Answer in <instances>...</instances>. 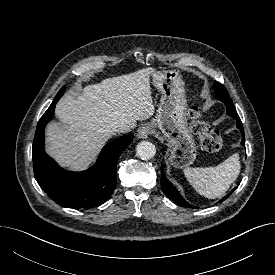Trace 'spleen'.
Returning <instances> with one entry per match:
<instances>
[{
  "label": "spleen",
  "mask_w": 275,
  "mask_h": 275,
  "mask_svg": "<svg viewBox=\"0 0 275 275\" xmlns=\"http://www.w3.org/2000/svg\"><path fill=\"white\" fill-rule=\"evenodd\" d=\"M240 168L239 155L235 153L216 167H187L184 175L200 195L215 199L225 194L237 179Z\"/></svg>",
  "instance_id": "obj_1"
}]
</instances>
